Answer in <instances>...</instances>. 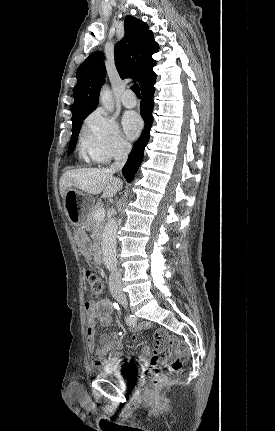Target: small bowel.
Segmentation results:
<instances>
[{
    "label": "small bowel",
    "instance_id": "small-bowel-1",
    "mask_svg": "<svg viewBox=\"0 0 275 431\" xmlns=\"http://www.w3.org/2000/svg\"><path fill=\"white\" fill-rule=\"evenodd\" d=\"M75 239L81 252L88 253L90 243L87 235L83 232H76ZM86 310V341L87 348L93 354L96 365H107L116 363L121 360L120 350L122 343L117 334H102L99 338V345L96 344L97 326H108L112 321L113 305L107 298L99 301H90L85 305ZM149 322H142L136 326L139 330L150 329ZM157 349L154 353L149 347H146L140 355V360L143 362H157L162 365H168L175 354L179 353L176 345L170 344V351L162 358L158 353L164 348L165 342L161 339V335L156 332Z\"/></svg>",
    "mask_w": 275,
    "mask_h": 431
}]
</instances>
